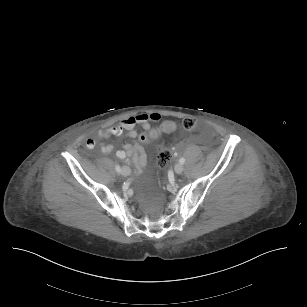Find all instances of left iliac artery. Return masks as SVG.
Instances as JSON below:
<instances>
[{"label":"left iliac artery","instance_id":"left-iliac-artery-1","mask_svg":"<svg viewBox=\"0 0 307 307\" xmlns=\"http://www.w3.org/2000/svg\"><path fill=\"white\" fill-rule=\"evenodd\" d=\"M179 162H180L181 164H184V163H185V158L181 157L180 160H179Z\"/></svg>","mask_w":307,"mask_h":307}]
</instances>
